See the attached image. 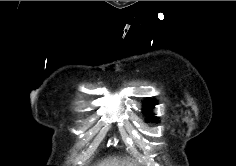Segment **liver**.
Masks as SVG:
<instances>
[{
  "label": "liver",
  "mask_w": 236,
  "mask_h": 166,
  "mask_svg": "<svg viewBox=\"0 0 236 166\" xmlns=\"http://www.w3.org/2000/svg\"><path fill=\"white\" fill-rule=\"evenodd\" d=\"M125 161L126 160H119L117 157H110L97 164V166H119L122 162Z\"/></svg>",
  "instance_id": "1"
}]
</instances>
